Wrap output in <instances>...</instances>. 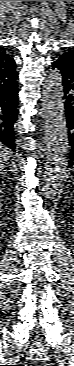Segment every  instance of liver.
<instances>
[{
  "label": "liver",
  "instance_id": "liver-1",
  "mask_svg": "<svg viewBox=\"0 0 74 366\" xmlns=\"http://www.w3.org/2000/svg\"><path fill=\"white\" fill-rule=\"evenodd\" d=\"M11 155V151L8 147L1 145L0 146V167H4V164L8 162Z\"/></svg>",
  "mask_w": 74,
  "mask_h": 366
}]
</instances>
